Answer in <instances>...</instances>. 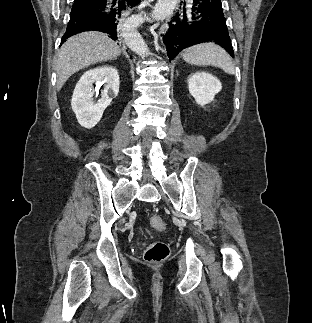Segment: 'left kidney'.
Returning <instances> with one entry per match:
<instances>
[{"label": "left kidney", "mask_w": 312, "mask_h": 323, "mask_svg": "<svg viewBox=\"0 0 312 323\" xmlns=\"http://www.w3.org/2000/svg\"><path fill=\"white\" fill-rule=\"evenodd\" d=\"M188 84L191 96L200 106L212 102L214 96L222 90L219 80L214 78L212 74H207V72H195L188 78Z\"/></svg>", "instance_id": "5707ae66"}]
</instances>
